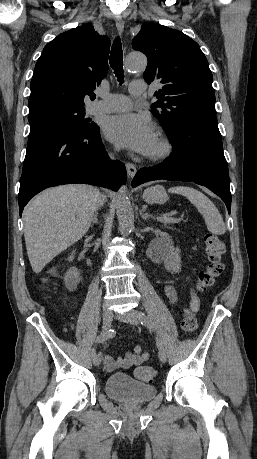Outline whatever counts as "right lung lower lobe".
<instances>
[{"label":"right lung lower lobe","instance_id":"right-lung-lower-lobe-1","mask_svg":"<svg viewBox=\"0 0 257 459\" xmlns=\"http://www.w3.org/2000/svg\"><path fill=\"white\" fill-rule=\"evenodd\" d=\"M126 175L122 162L109 159L98 126L74 131L52 123H31L20 180V216L28 201L48 187L85 183L117 191Z\"/></svg>","mask_w":257,"mask_h":459}]
</instances>
